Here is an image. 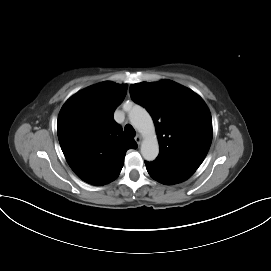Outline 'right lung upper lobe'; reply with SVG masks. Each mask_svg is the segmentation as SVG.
<instances>
[{"label": "right lung upper lobe", "instance_id": "1", "mask_svg": "<svg viewBox=\"0 0 271 271\" xmlns=\"http://www.w3.org/2000/svg\"><path fill=\"white\" fill-rule=\"evenodd\" d=\"M126 85L102 82L85 88L63 105L58 116V138L64 156L83 181L105 185L115 180L128 149H136L113 120L124 100Z\"/></svg>", "mask_w": 271, "mask_h": 271}]
</instances>
